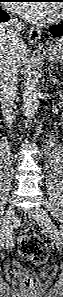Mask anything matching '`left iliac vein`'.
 I'll use <instances>...</instances> for the list:
<instances>
[{
  "mask_svg": "<svg viewBox=\"0 0 63 297\" xmlns=\"http://www.w3.org/2000/svg\"><path fill=\"white\" fill-rule=\"evenodd\" d=\"M31 214L37 221H40L44 224L53 242L56 245H60L61 238L59 231L47 212L42 207L37 206L31 210Z\"/></svg>",
  "mask_w": 63,
  "mask_h": 297,
  "instance_id": "4c4485c4",
  "label": "left iliac vein"
}]
</instances>
